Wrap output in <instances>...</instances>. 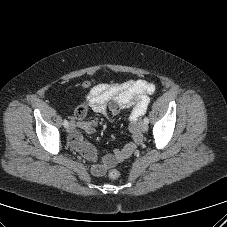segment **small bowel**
Listing matches in <instances>:
<instances>
[{
  "label": "small bowel",
  "mask_w": 227,
  "mask_h": 227,
  "mask_svg": "<svg viewBox=\"0 0 227 227\" xmlns=\"http://www.w3.org/2000/svg\"><path fill=\"white\" fill-rule=\"evenodd\" d=\"M155 90L154 84L145 80H129L119 84L101 83L94 86L86 95L83 103L76 109L77 128L87 134H93L97 122L84 120L88 110L109 113L117 116L124 109H131L129 114V130L133 140L121 149L106 154L100 161L91 165V173L102 176L106 170L118 162L131 156L141 141L138 120L145 114L149 104V95ZM77 128L69 135V144L85 158L96 160L94 148L85 142Z\"/></svg>",
  "instance_id": "1"
}]
</instances>
